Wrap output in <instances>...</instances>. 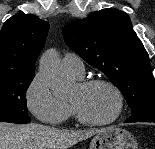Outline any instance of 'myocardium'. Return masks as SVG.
<instances>
[{
    "label": "myocardium",
    "instance_id": "obj_1",
    "mask_svg": "<svg viewBox=\"0 0 155 149\" xmlns=\"http://www.w3.org/2000/svg\"><path fill=\"white\" fill-rule=\"evenodd\" d=\"M97 85L106 86L114 93L116 97V101H117L116 110L113 116L107 120L93 121V120L86 118L75 104L70 103L72 112L75 118L77 119V121L86 126L101 127V126L112 124L113 122L119 119L124 109V95L122 91L120 90V88L113 82L106 80V79H102V78H93V79L83 80L79 83V86L84 89L97 86Z\"/></svg>",
    "mask_w": 155,
    "mask_h": 149
}]
</instances>
